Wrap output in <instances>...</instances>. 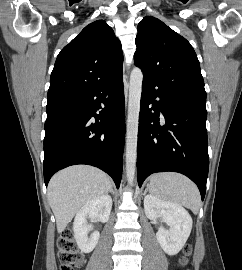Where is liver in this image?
Segmentation results:
<instances>
[{"mask_svg": "<svg viewBox=\"0 0 242 270\" xmlns=\"http://www.w3.org/2000/svg\"><path fill=\"white\" fill-rule=\"evenodd\" d=\"M111 187L109 176L95 167L76 165L56 173L48 185V200L58 233L87 202L107 194Z\"/></svg>", "mask_w": 242, "mask_h": 270, "instance_id": "liver-1", "label": "liver"}]
</instances>
